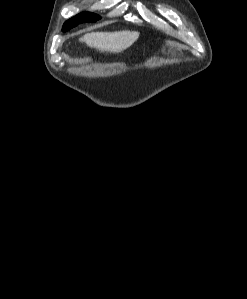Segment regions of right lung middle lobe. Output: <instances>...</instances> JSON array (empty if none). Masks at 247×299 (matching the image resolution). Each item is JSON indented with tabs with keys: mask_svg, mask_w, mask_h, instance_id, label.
<instances>
[{
	"mask_svg": "<svg viewBox=\"0 0 247 299\" xmlns=\"http://www.w3.org/2000/svg\"><path fill=\"white\" fill-rule=\"evenodd\" d=\"M101 17H99L96 14L85 12V13H80L77 16L67 20L64 25H63V32H66L67 30L77 26L80 23L84 22H95L99 20Z\"/></svg>",
	"mask_w": 247,
	"mask_h": 299,
	"instance_id": "dd1d6c3e",
	"label": "right lung middle lobe"
}]
</instances>
